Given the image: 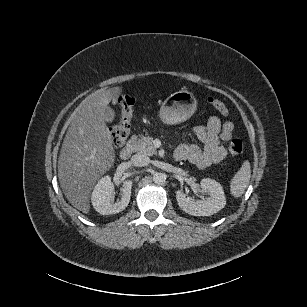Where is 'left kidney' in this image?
<instances>
[{
    "label": "left kidney",
    "instance_id": "obj_1",
    "mask_svg": "<svg viewBox=\"0 0 307 307\" xmlns=\"http://www.w3.org/2000/svg\"><path fill=\"white\" fill-rule=\"evenodd\" d=\"M202 189L209 190L210 196L202 202L195 201L185 193H178L177 199L180 208L192 215L208 216L221 210L226 204V198L221 184L211 178L200 180Z\"/></svg>",
    "mask_w": 307,
    "mask_h": 307
}]
</instances>
